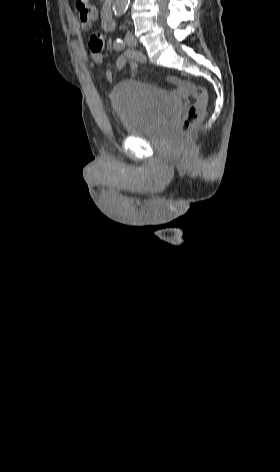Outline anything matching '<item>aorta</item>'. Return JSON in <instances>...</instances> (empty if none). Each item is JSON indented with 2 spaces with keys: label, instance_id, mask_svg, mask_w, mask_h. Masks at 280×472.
Instances as JSON below:
<instances>
[{
  "label": "aorta",
  "instance_id": "obj_1",
  "mask_svg": "<svg viewBox=\"0 0 280 472\" xmlns=\"http://www.w3.org/2000/svg\"><path fill=\"white\" fill-rule=\"evenodd\" d=\"M130 0H114L113 11L117 15L123 14L128 8Z\"/></svg>",
  "mask_w": 280,
  "mask_h": 472
}]
</instances>
